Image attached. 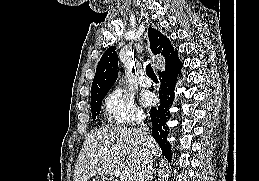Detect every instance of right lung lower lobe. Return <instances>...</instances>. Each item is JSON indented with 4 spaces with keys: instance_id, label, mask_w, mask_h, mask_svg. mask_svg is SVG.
<instances>
[{
    "instance_id": "1",
    "label": "right lung lower lobe",
    "mask_w": 259,
    "mask_h": 181,
    "mask_svg": "<svg viewBox=\"0 0 259 181\" xmlns=\"http://www.w3.org/2000/svg\"><path fill=\"white\" fill-rule=\"evenodd\" d=\"M178 53V52H177ZM177 53L166 61L165 70L158 72L161 86L159 90L160 106L151 108L152 135L167 159L171 158V146L167 142L169 128L166 123L170 118L169 107L174 99V88L177 75L183 66Z\"/></svg>"
}]
</instances>
